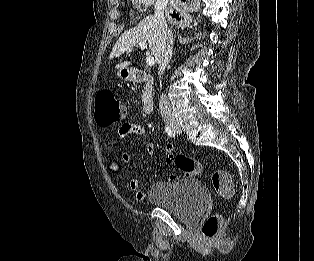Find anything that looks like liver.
<instances>
[{
    "mask_svg": "<svg viewBox=\"0 0 314 261\" xmlns=\"http://www.w3.org/2000/svg\"><path fill=\"white\" fill-rule=\"evenodd\" d=\"M140 42L147 43L151 50V54L155 57L159 64L161 54L165 47V36L160 28L158 19L155 16H147L140 23L123 33L116 41L109 59L121 56L125 52L132 51ZM131 49V50H130ZM130 65L129 61H125L116 66V68H126Z\"/></svg>",
    "mask_w": 314,
    "mask_h": 261,
    "instance_id": "obj_1",
    "label": "liver"
}]
</instances>
